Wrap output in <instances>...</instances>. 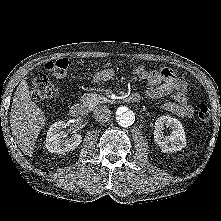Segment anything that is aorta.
<instances>
[{"label": "aorta", "instance_id": "aorta-1", "mask_svg": "<svg viewBox=\"0 0 221 221\" xmlns=\"http://www.w3.org/2000/svg\"><path fill=\"white\" fill-rule=\"evenodd\" d=\"M116 120L122 127L131 126L135 121V114L126 107H121L117 111Z\"/></svg>", "mask_w": 221, "mask_h": 221}]
</instances>
